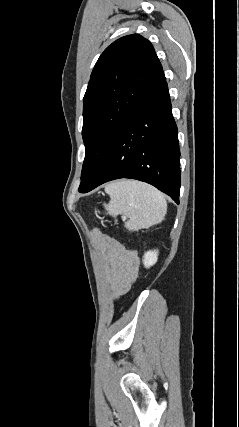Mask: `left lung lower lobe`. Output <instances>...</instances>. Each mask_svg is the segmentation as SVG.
Instances as JSON below:
<instances>
[{
    "mask_svg": "<svg viewBox=\"0 0 239 427\" xmlns=\"http://www.w3.org/2000/svg\"><path fill=\"white\" fill-rule=\"evenodd\" d=\"M180 150L166 81L129 117L112 141L89 192L119 178L147 182L179 203Z\"/></svg>",
    "mask_w": 239,
    "mask_h": 427,
    "instance_id": "0a47b994",
    "label": "left lung lower lobe"
}]
</instances>
